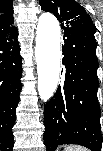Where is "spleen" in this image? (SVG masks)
<instances>
[{
	"instance_id": "spleen-1",
	"label": "spleen",
	"mask_w": 103,
	"mask_h": 151,
	"mask_svg": "<svg viewBox=\"0 0 103 151\" xmlns=\"http://www.w3.org/2000/svg\"><path fill=\"white\" fill-rule=\"evenodd\" d=\"M64 151H89L87 148L82 146H67Z\"/></svg>"
}]
</instances>
